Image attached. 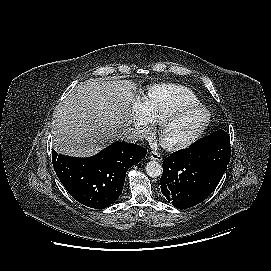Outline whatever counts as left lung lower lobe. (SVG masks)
Instances as JSON below:
<instances>
[{"label":"left lung lower lobe","mask_w":271,"mask_h":271,"mask_svg":"<svg viewBox=\"0 0 271 271\" xmlns=\"http://www.w3.org/2000/svg\"><path fill=\"white\" fill-rule=\"evenodd\" d=\"M219 130L198 141L215 142ZM196 141V142H198ZM224 172L192 156L187 148L172 153L163 162L161 192L176 208H189L205 200L217 187Z\"/></svg>","instance_id":"0a47b994"}]
</instances>
